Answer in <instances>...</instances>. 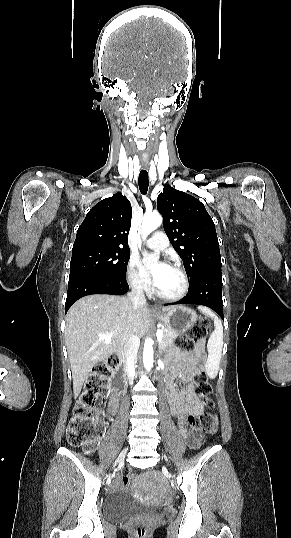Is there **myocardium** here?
Wrapping results in <instances>:
<instances>
[{"mask_svg": "<svg viewBox=\"0 0 291 538\" xmlns=\"http://www.w3.org/2000/svg\"><path fill=\"white\" fill-rule=\"evenodd\" d=\"M169 267L174 269L176 272H178L180 274V276L182 277V281H183L182 289L178 293H176L174 295H167V294L162 293L161 291H159L157 289V287H155L154 288V293L158 298H160L162 300H165V301H178V300H181L182 298H184L187 295V293L189 292L190 280H189V277H188L186 271L180 265L174 263V264L170 265Z\"/></svg>", "mask_w": 291, "mask_h": 538, "instance_id": "1", "label": "myocardium"}]
</instances>
